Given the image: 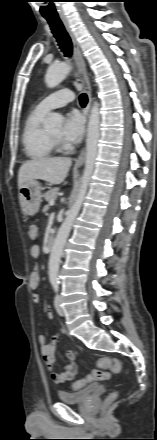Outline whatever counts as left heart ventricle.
<instances>
[{"label":"left heart ventricle","mask_w":157,"mask_h":440,"mask_svg":"<svg viewBox=\"0 0 157 440\" xmlns=\"http://www.w3.org/2000/svg\"><path fill=\"white\" fill-rule=\"evenodd\" d=\"M50 133L56 137H60L61 130H60V128L52 129V130H50Z\"/></svg>","instance_id":"left-heart-ventricle-1"}]
</instances>
